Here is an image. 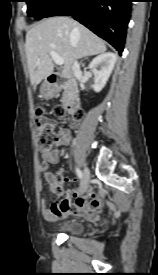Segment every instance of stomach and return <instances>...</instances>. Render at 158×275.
<instances>
[{
	"instance_id": "stomach-1",
	"label": "stomach",
	"mask_w": 158,
	"mask_h": 275,
	"mask_svg": "<svg viewBox=\"0 0 158 275\" xmlns=\"http://www.w3.org/2000/svg\"><path fill=\"white\" fill-rule=\"evenodd\" d=\"M41 97L45 99H49L53 96V90L51 87L47 85V83H43L40 88Z\"/></svg>"
}]
</instances>
